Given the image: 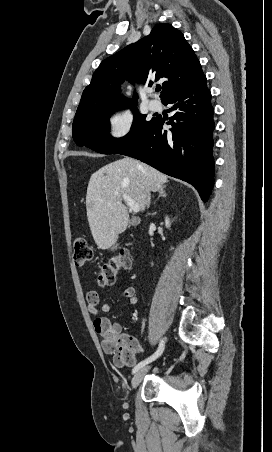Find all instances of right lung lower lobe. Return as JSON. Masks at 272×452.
I'll return each instance as SVG.
<instances>
[{
	"label": "right lung lower lobe",
	"instance_id": "98d812e1",
	"mask_svg": "<svg viewBox=\"0 0 272 452\" xmlns=\"http://www.w3.org/2000/svg\"><path fill=\"white\" fill-rule=\"evenodd\" d=\"M163 104L172 105L170 131L163 130L164 120L156 117L142 136L120 154L192 184L206 202L214 185L215 128L206 77L176 92Z\"/></svg>",
	"mask_w": 272,
	"mask_h": 452
}]
</instances>
